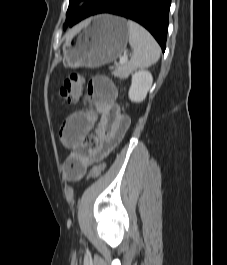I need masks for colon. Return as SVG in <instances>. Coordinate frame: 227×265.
I'll return each instance as SVG.
<instances>
[{"label": "colon", "mask_w": 227, "mask_h": 265, "mask_svg": "<svg viewBox=\"0 0 227 265\" xmlns=\"http://www.w3.org/2000/svg\"><path fill=\"white\" fill-rule=\"evenodd\" d=\"M84 80L78 73H72L64 81L63 86L60 88L58 94L67 103H75L82 95ZM84 157L78 151H72L64 163V170L67 176L72 179L76 173L82 168ZM105 169V163L100 162L92 168L88 175V179H96L101 175Z\"/></svg>", "instance_id": "5ec220e1"}]
</instances>
